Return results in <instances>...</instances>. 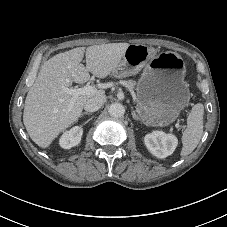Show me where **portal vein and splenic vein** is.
<instances>
[{
    "mask_svg": "<svg viewBox=\"0 0 227 227\" xmlns=\"http://www.w3.org/2000/svg\"><path fill=\"white\" fill-rule=\"evenodd\" d=\"M64 91L70 95H72V100L76 99L79 95H90V94H94L97 89L95 88V86H90V85H85L82 88H65ZM175 127L177 129L182 128V126L179 123L175 124Z\"/></svg>",
    "mask_w": 227,
    "mask_h": 227,
    "instance_id": "obj_1",
    "label": "portal vein and splenic vein"
}]
</instances>
